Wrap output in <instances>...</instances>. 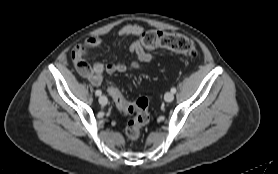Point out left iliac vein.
I'll list each match as a JSON object with an SVG mask.
<instances>
[{
	"mask_svg": "<svg viewBox=\"0 0 278 174\" xmlns=\"http://www.w3.org/2000/svg\"><path fill=\"white\" fill-rule=\"evenodd\" d=\"M174 99V95L172 92H166L165 95H164V100L166 102H172Z\"/></svg>",
	"mask_w": 278,
	"mask_h": 174,
	"instance_id": "1",
	"label": "left iliac vein"
}]
</instances>
